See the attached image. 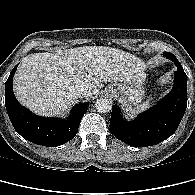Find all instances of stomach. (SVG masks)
Segmentation results:
<instances>
[{
    "instance_id": "stomach-1",
    "label": "stomach",
    "mask_w": 195,
    "mask_h": 195,
    "mask_svg": "<svg viewBox=\"0 0 195 195\" xmlns=\"http://www.w3.org/2000/svg\"><path fill=\"white\" fill-rule=\"evenodd\" d=\"M145 73H141L129 82L112 84L107 88V92L117 98L124 106L131 108L142 102L145 97L143 87Z\"/></svg>"
}]
</instances>
